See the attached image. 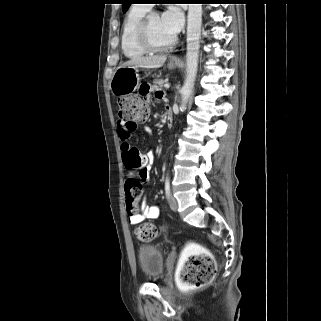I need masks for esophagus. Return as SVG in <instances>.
I'll use <instances>...</instances> for the list:
<instances>
[{
  "label": "esophagus",
  "instance_id": "obj_1",
  "mask_svg": "<svg viewBox=\"0 0 321 321\" xmlns=\"http://www.w3.org/2000/svg\"><path fill=\"white\" fill-rule=\"evenodd\" d=\"M173 61H177V58H173Z\"/></svg>",
  "mask_w": 321,
  "mask_h": 321
}]
</instances>
